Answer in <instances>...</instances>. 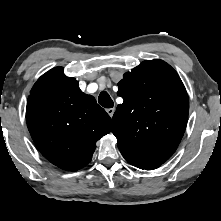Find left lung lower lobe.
I'll list each match as a JSON object with an SVG mask.
<instances>
[{
  "label": "left lung lower lobe",
  "mask_w": 221,
  "mask_h": 221,
  "mask_svg": "<svg viewBox=\"0 0 221 221\" xmlns=\"http://www.w3.org/2000/svg\"><path fill=\"white\" fill-rule=\"evenodd\" d=\"M120 151H121L123 157L127 160V162H129L130 164H132L140 169L152 170V169L158 168L161 165L158 163L142 160L127 151H124V150H120Z\"/></svg>",
  "instance_id": "obj_1"
}]
</instances>
